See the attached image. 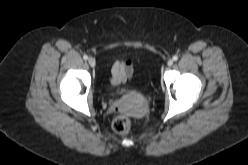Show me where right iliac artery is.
Instances as JSON below:
<instances>
[{
	"label": "right iliac artery",
	"instance_id": "1",
	"mask_svg": "<svg viewBox=\"0 0 248 165\" xmlns=\"http://www.w3.org/2000/svg\"><path fill=\"white\" fill-rule=\"evenodd\" d=\"M83 59H84V60H87V59H88V56H87V55H84V56H83Z\"/></svg>",
	"mask_w": 248,
	"mask_h": 165
}]
</instances>
